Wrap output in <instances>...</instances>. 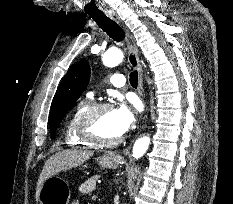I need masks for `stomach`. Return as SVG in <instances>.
Segmentation results:
<instances>
[{"label": "stomach", "mask_w": 233, "mask_h": 204, "mask_svg": "<svg viewBox=\"0 0 233 204\" xmlns=\"http://www.w3.org/2000/svg\"><path fill=\"white\" fill-rule=\"evenodd\" d=\"M102 168L116 169L121 158L114 154L108 153L97 159ZM70 198V189L66 181L58 177H50L45 180L38 195V204H68Z\"/></svg>", "instance_id": "0dacf381"}]
</instances>
